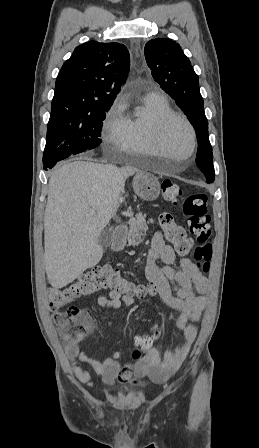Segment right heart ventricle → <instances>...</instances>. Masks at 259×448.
Masks as SVG:
<instances>
[{
    "label": "right heart ventricle",
    "instance_id": "right-heart-ventricle-1",
    "mask_svg": "<svg viewBox=\"0 0 259 448\" xmlns=\"http://www.w3.org/2000/svg\"><path fill=\"white\" fill-rule=\"evenodd\" d=\"M140 102L144 113L139 115L136 111L121 106L118 119L126 135V154L122 157L123 163H140L139 156L147 150L156 149L154 131L157 119L173 112V108L165 94L157 89L144 92Z\"/></svg>",
    "mask_w": 259,
    "mask_h": 448
}]
</instances>
